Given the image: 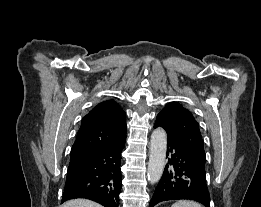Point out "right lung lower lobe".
Instances as JSON below:
<instances>
[{"label":"right lung lower lobe","instance_id":"98d812e1","mask_svg":"<svg viewBox=\"0 0 261 207\" xmlns=\"http://www.w3.org/2000/svg\"><path fill=\"white\" fill-rule=\"evenodd\" d=\"M125 140L70 158L62 203L87 198L105 207H118L121 192V153Z\"/></svg>","mask_w":261,"mask_h":207}]
</instances>
